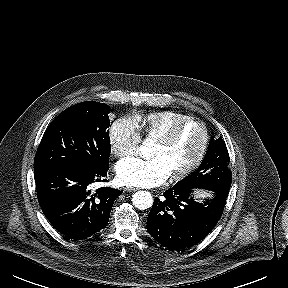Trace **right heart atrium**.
Instances as JSON below:
<instances>
[{"label":"right heart atrium","instance_id":"right-heart-atrium-1","mask_svg":"<svg viewBox=\"0 0 288 288\" xmlns=\"http://www.w3.org/2000/svg\"><path fill=\"white\" fill-rule=\"evenodd\" d=\"M108 139L112 154L124 157L137 151L141 134L132 118H121L111 125Z\"/></svg>","mask_w":288,"mask_h":288}]
</instances>
